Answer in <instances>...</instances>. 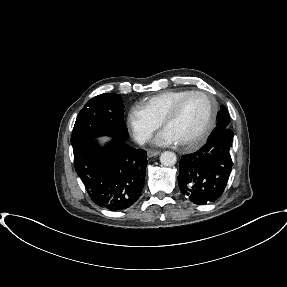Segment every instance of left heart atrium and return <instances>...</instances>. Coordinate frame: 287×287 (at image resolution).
I'll list each match as a JSON object with an SVG mask.
<instances>
[{"label":"left heart atrium","instance_id":"left-heart-atrium-1","mask_svg":"<svg viewBox=\"0 0 287 287\" xmlns=\"http://www.w3.org/2000/svg\"><path fill=\"white\" fill-rule=\"evenodd\" d=\"M159 145H173L178 143L176 138L167 130H164L156 139Z\"/></svg>","mask_w":287,"mask_h":287}]
</instances>
